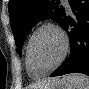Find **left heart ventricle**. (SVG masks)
<instances>
[{
	"mask_svg": "<svg viewBox=\"0 0 89 89\" xmlns=\"http://www.w3.org/2000/svg\"><path fill=\"white\" fill-rule=\"evenodd\" d=\"M62 39L52 28H44L35 36L31 46V58L36 70L51 67L62 52Z\"/></svg>",
	"mask_w": 89,
	"mask_h": 89,
	"instance_id": "1",
	"label": "left heart ventricle"
}]
</instances>
